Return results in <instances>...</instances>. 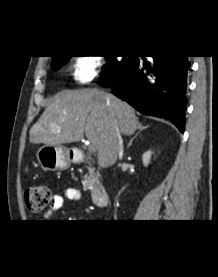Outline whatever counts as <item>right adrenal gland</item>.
<instances>
[{"label":"right adrenal gland","mask_w":218,"mask_h":277,"mask_svg":"<svg viewBox=\"0 0 218 277\" xmlns=\"http://www.w3.org/2000/svg\"><path fill=\"white\" fill-rule=\"evenodd\" d=\"M146 128H148V126H142L141 124H139V127H138L139 131L133 136V138H131V140H130L128 146H127V148H129V147L132 145L133 140L138 136V134H139L141 131L145 130Z\"/></svg>","instance_id":"obj_1"}]
</instances>
